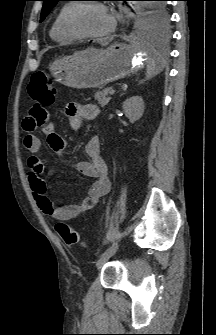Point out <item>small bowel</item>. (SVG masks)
<instances>
[{
	"label": "small bowel",
	"instance_id": "obj_1",
	"mask_svg": "<svg viewBox=\"0 0 216 335\" xmlns=\"http://www.w3.org/2000/svg\"><path fill=\"white\" fill-rule=\"evenodd\" d=\"M69 125L73 130L79 129L85 120H92L99 114V108L94 104L70 103L66 107ZM51 108H44L43 104H32L29 119L24 122L26 134L23 144L29 152L27 164L29 167V185L38 208L50 218L57 221L71 220L86 211L90 210L95 204L109 192L111 182L108 177V170L105 161L100 154V143L97 136H91L85 145V154L88 161H77L75 168L84 176L94 179L86 197L78 202L56 206L50 200L45 183L42 179L43 162L40 158L41 142L37 134H45L51 148L59 155L66 151L65 141L59 137L50 123Z\"/></svg>",
	"mask_w": 216,
	"mask_h": 335
}]
</instances>
